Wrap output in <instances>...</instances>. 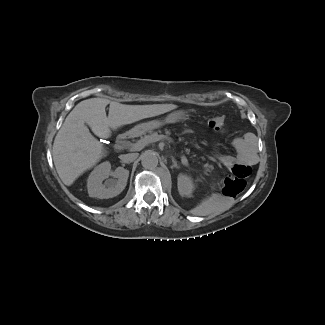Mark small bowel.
<instances>
[{
	"mask_svg": "<svg viewBox=\"0 0 325 325\" xmlns=\"http://www.w3.org/2000/svg\"><path fill=\"white\" fill-rule=\"evenodd\" d=\"M236 151L239 159L242 162H250L251 157L248 155L246 149L242 145L237 146Z\"/></svg>",
	"mask_w": 325,
	"mask_h": 325,
	"instance_id": "1",
	"label": "small bowel"
}]
</instances>
